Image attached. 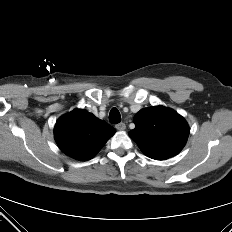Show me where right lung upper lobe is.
Listing matches in <instances>:
<instances>
[{
  "instance_id": "cb5924a9",
  "label": "right lung upper lobe",
  "mask_w": 232,
  "mask_h": 232,
  "mask_svg": "<svg viewBox=\"0 0 232 232\" xmlns=\"http://www.w3.org/2000/svg\"><path fill=\"white\" fill-rule=\"evenodd\" d=\"M115 132V128L83 109L60 117L54 128L61 150L81 161L93 158Z\"/></svg>"
}]
</instances>
